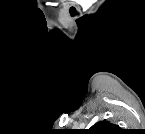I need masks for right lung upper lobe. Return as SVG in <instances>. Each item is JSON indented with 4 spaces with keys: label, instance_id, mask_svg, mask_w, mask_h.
I'll return each instance as SVG.
<instances>
[{
    "label": "right lung upper lobe",
    "instance_id": "1",
    "mask_svg": "<svg viewBox=\"0 0 145 134\" xmlns=\"http://www.w3.org/2000/svg\"><path fill=\"white\" fill-rule=\"evenodd\" d=\"M119 127L109 121L103 120L94 124L88 132L90 134H116L119 132Z\"/></svg>",
    "mask_w": 145,
    "mask_h": 134
}]
</instances>
